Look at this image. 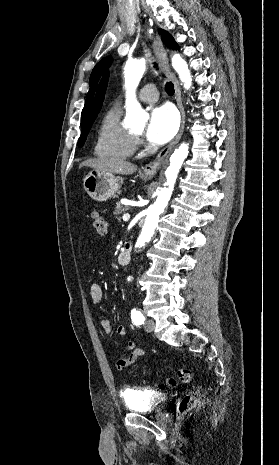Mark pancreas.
I'll return each mask as SVG.
<instances>
[{
  "label": "pancreas",
  "mask_w": 279,
  "mask_h": 465,
  "mask_svg": "<svg viewBox=\"0 0 279 465\" xmlns=\"http://www.w3.org/2000/svg\"><path fill=\"white\" fill-rule=\"evenodd\" d=\"M128 210V206H124V205H121L120 203H117L116 204V209L114 211V214L116 216H118L119 214H121L122 212H125ZM118 220H120V218H118Z\"/></svg>",
  "instance_id": "obj_1"
}]
</instances>
